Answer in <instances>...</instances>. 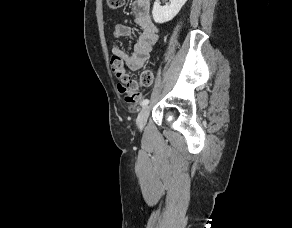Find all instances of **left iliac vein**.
Wrapping results in <instances>:
<instances>
[{
	"instance_id": "1",
	"label": "left iliac vein",
	"mask_w": 292,
	"mask_h": 228,
	"mask_svg": "<svg viewBox=\"0 0 292 228\" xmlns=\"http://www.w3.org/2000/svg\"><path fill=\"white\" fill-rule=\"evenodd\" d=\"M150 113V107L148 105H145L141 108L137 119H136V124L138 128L142 129L147 123V119Z\"/></svg>"
}]
</instances>
